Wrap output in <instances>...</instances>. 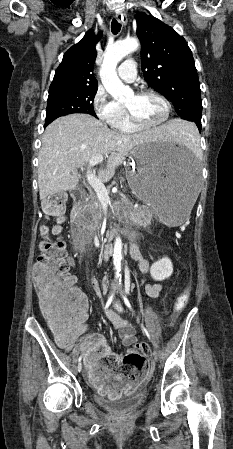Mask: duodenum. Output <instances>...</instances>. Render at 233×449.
Returning a JSON list of instances; mask_svg holds the SVG:
<instances>
[{"label":"duodenum","instance_id":"410a0bca","mask_svg":"<svg viewBox=\"0 0 233 449\" xmlns=\"http://www.w3.org/2000/svg\"><path fill=\"white\" fill-rule=\"evenodd\" d=\"M72 198L75 203L72 217H73V220L76 221L78 219L77 206H80L84 202V200L86 199V194L82 191H75L72 194ZM111 254H112V244L107 243L100 253V258L103 260L108 259L111 256Z\"/></svg>","mask_w":233,"mask_h":449}]
</instances>
